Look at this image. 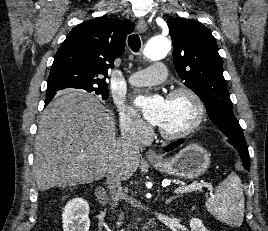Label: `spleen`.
Returning a JSON list of instances; mask_svg holds the SVG:
<instances>
[{
  "mask_svg": "<svg viewBox=\"0 0 268 231\" xmlns=\"http://www.w3.org/2000/svg\"><path fill=\"white\" fill-rule=\"evenodd\" d=\"M244 201L241 180L231 173L218 185L215 195L207 199L206 207L216 219L239 227L244 219Z\"/></svg>",
  "mask_w": 268,
  "mask_h": 231,
  "instance_id": "spleen-1",
  "label": "spleen"
}]
</instances>
